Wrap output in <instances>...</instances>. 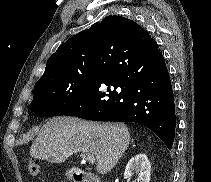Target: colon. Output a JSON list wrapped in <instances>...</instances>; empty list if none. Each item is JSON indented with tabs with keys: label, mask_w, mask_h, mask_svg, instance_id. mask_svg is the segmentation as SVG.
Wrapping results in <instances>:
<instances>
[{
	"label": "colon",
	"mask_w": 211,
	"mask_h": 182,
	"mask_svg": "<svg viewBox=\"0 0 211 182\" xmlns=\"http://www.w3.org/2000/svg\"><path fill=\"white\" fill-rule=\"evenodd\" d=\"M28 170L30 172L31 175H38L40 172V166L38 163L34 162V161H29L28 163Z\"/></svg>",
	"instance_id": "obj_1"
}]
</instances>
